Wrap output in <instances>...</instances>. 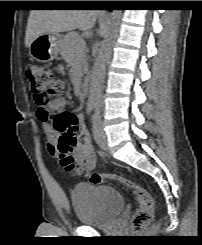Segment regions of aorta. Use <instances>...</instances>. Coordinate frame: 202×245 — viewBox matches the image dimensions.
<instances>
[{"mask_svg":"<svg viewBox=\"0 0 202 245\" xmlns=\"http://www.w3.org/2000/svg\"><path fill=\"white\" fill-rule=\"evenodd\" d=\"M122 17L121 10H114L106 26L104 39L95 60L90 82V101L96 102L100 99L103 88V81L107 63L112 54L114 38L118 30V26Z\"/></svg>","mask_w":202,"mask_h":245,"instance_id":"aorta-1","label":"aorta"}]
</instances>
